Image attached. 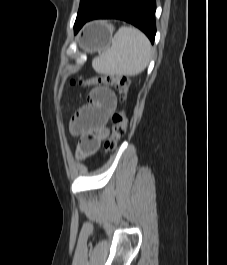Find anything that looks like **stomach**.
Segmentation results:
<instances>
[{"instance_id": "0dacf381", "label": "stomach", "mask_w": 227, "mask_h": 265, "mask_svg": "<svg viewBox=\"0 0 227 265\" xmlns=\"http://www.w3.org/2000/svg\"><path fill=\"white\" fill-rule=\"evenodd\" d=\"M114 28L106 22L90 24L85 33L83 47L88 52L101 51L110 46Z\"/></svg>"}]
</instances>
